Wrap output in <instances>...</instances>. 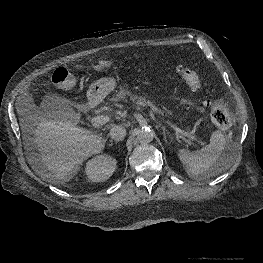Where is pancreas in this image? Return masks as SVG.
I'll return each instance as SVG.
<instances>
[{"label": "pancreas", "mask_w": 263, "mask_h": 263, "mask_svg": "<svg viewBox=\"0 0 263 263\" xmlns=\"http://www.w3.org/2000/svg\"><path fill=\"white\" fill-rule=\"evenodd\" d=\"M117 96L124 101H127V98H129L130 101H136L140 105L149 106L155 113L160 112V110H158V108L150 100L146 99L145 97H138L136 95H133L125 89H121Z\"/></svg>", "instance_id": "pancreas-1"}]
</instances>
